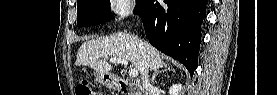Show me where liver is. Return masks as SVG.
<instances>
[{"label": "liver", "instance_id": "obj_1", "mask_svg": "<svg viewBox=\"0 0 277 95\" xmlns=\"http://www.w3.org/2000/svg\"><path fill=\"white\" fill-rule=\"evenodd\" d=\"M139 45L143 47L150 70L167 68V63L162 60L156 48L127 33H114L84 42L78 50L75 65L88 66L107 74L112 70V65L107 62L108 58H123L130 61L139 71L141 60Z\"/></svg>", "mask_w": 277, "mask_h": 95}]
</instances>
